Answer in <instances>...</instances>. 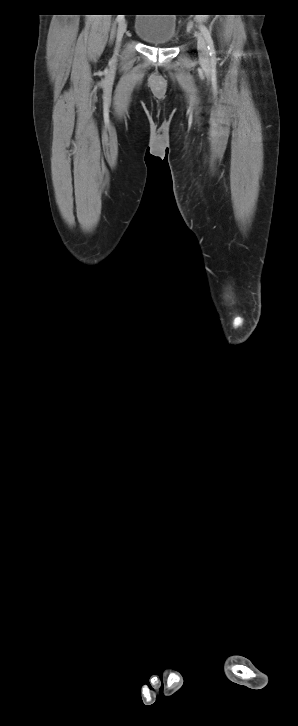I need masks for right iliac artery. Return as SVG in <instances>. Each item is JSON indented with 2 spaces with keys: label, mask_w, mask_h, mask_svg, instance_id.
Returning <instances> with one entry per match:
<instances>
[{
  "label": "right iliac artery",
  "mask_w": 298,
  "mask_h": 726,
  "mask_svg": "<svg viewBox=\"0 0 298 726\" xmlns=\"http://www.w3.org/2000/svg\"><path fill=\"white\" fill-rule=\"evenodd\" d=\"M116 20H117V22H120L121 20H123V16H122V15H119V16H118V17L116 18Z\"/></svg>",
  "instance_id": "82829eb1"
}]
</instances>
